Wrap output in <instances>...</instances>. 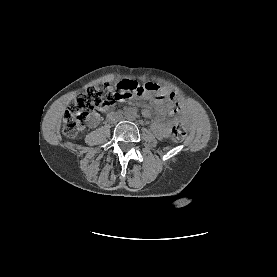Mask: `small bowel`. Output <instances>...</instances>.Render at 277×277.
Here are the masks:
<instances>
[{"label":"small bowel","instance_id":"small-bowel-1","mask_svg":"<svg viewBox=\"0 0 277 277\" xmlns=\"http://www.w3.org/2000/svg\"><path fill=\"white\" fill-rule=\"evenodd\" d=\"M146 86H149L150 90L157 94L158 101L155 106L156 117L152 122V129L158 138H167L170 136L172 126L183 119L182 113L180 112L179 116L176 117L172 122L167 124L163 122L164 117L173 109L171 105L177 102V96L171 90L161 89L151 83L146 84ZM142 114L147 118L152 116V113L149 109H144ZM99 119V115L94 114L91 117L89 124L91 126H96L99 123Z\"/></svg>","mask_w":277,"mask_h":277}]
</instances>
